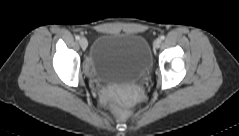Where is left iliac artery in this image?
I'll return each instance as SVG.
<instances>
[{
	"instance_id": "1",
	"label": "left iliac artery",
	"mask_w": 239,
	"mask_h": 136,
	"mask_svg": "<svg viewBox=\"0 0 239 136\" xmlns=\"http://www.w3.org/2000/svg\"><path fill=\"white\" fill-rule=\"evenodd\" d=\"M160 39H161V40H164V39H165V36H164V35H161V36H160Z\"/></svg>"
}]
</instances>
